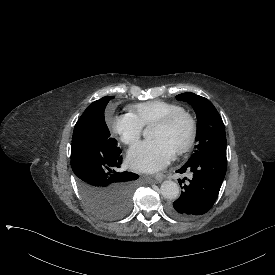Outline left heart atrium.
Here are the masks:
<instances>
[{
  "mask_svg": "<svg viewBox=\"0 0 275 275\" xmlns=\"http://www.w3.org/2000/svg\"><path fill=\"white\" fill-rule=\"evenodd\" d=\"M174 156V149L163 140L144 142L128 156L129 165L140 171L153 172L166 167Z\"/></svg>",
  "mask_w": 275,
  "mask_h": 275,
  "instance_id": "1",
  "label": "left heart atrium"
}]
</instances>
